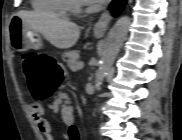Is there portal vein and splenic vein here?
I'll list each match as a JSON object with an SVG mask.
<instances>
[{
    "mask_svg": "<svg viewBox=\"0 0 182 140\" xmlns=\"http://www.w3.org/2000/svg\"><path fill=\"white\" fill-rule=\"evenodd\" d=\"M83 66H84V62H83V61H80V62L78 63V69L83 68Z\"/></svg>",
    "mask_w": 182,
    "mask_h": 140,
    "instance_id": "portal-vein-and-splenic-vein-1",
    "label": "portal vein and splenic vein"
}]
</instances>
